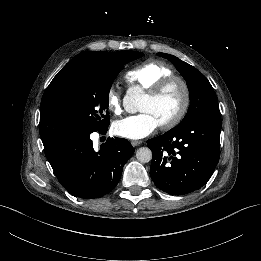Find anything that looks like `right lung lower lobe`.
I'll return each instance as SVG.
<instances>
[{"mask_svg":"<svg viewBox=\"0 0 261 261\" xmlns=\"http://www.w3.org/2000/svg\"><path fill=\"white\" fill-rule=\"evenodd\" d=\"M106 131L107 127L100 133ZM90 134L69 133L44 149L60 184L82 199H94L111 192L134 152L130 142L122 138H108L96 152Z\"/></svg>","mask_w":261,"mask_h":261,"instance_id":"98d812e1","label":"right lung lower lobe"}]
</instances>
